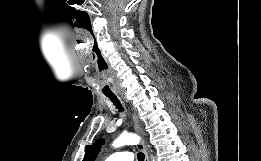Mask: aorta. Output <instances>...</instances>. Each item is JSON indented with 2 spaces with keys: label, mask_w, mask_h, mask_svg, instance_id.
<instances>
[{
  "label": "aorta",
  "mask_w": 261,
  "mask_h": 161,
  "mask_svg": "<svg viewBox=\"0 0 261 161\" xmlns=\"http://www.w3.org/2000/svg\"><path fill=\"white\" fill-rule=\"evenodd\" d=\"M138 142L139 137L137 135L131 133H124L113 142V147L118 148L124 145H135Z\"/></svg>",
  "instance_id": "1"
}]
</instances>
